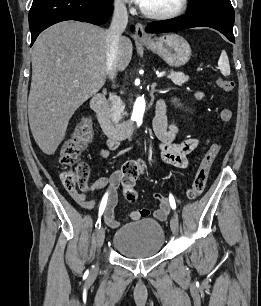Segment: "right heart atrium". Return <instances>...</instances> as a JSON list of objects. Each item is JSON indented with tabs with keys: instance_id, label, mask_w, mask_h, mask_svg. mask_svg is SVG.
Here are the masks:
<instances>
[{
	"instance_id": "d8ad5b80",
	"label": "right heart atrium",
	"mask_w": 261,
	"mask_h": 306,
	"mask_svg": "<svg viewBox=\"0 0 261 306\" xmlns=\"http://www.w3.org/2000/svg\"><path fill=\"white\" fill-rule=\"evenodd\" d=\"M114 8L118 12H124L126 10L125 0H114Z\"/></svg>"
}]
</instances>
